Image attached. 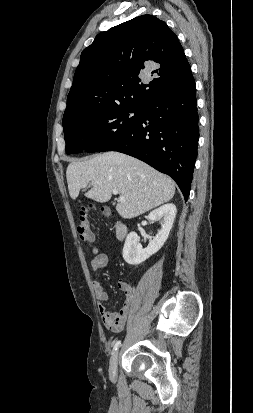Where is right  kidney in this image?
Here are the masks:
<instances>
[{"label": "right kidney", "instance_id": "right-kidney-1", "mask_svg": "<svg viewBox=\"0 0 253 413\" xmlns=\"http://www.w3.org/2000/svg\"><path fill=\"white\" fill-rule=\"evenodd\" d=\"M176 212V206L172 203L165 204L150 212L148 215L150 221L154 222L161 218H163V221L161 229L145 249H143L139 243V237L135 232H130L128 234L122 252L126 263L130 265H139L161 249L169 236Z\"/></svg>", "mask_w": 253, "mask_h": 413}]
</instances>
